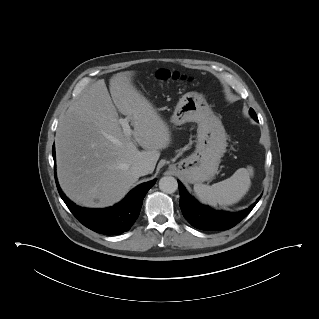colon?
<instances>
[{
  "instance_id": "colon-1",
  "label": "colon",
  "mask_w": 319,
  "mask_h": 319,
  "mask_svg": "<svg viewBox=\"0 0 319 319\" xmlns=\"http://www.w3.org/2000/svg\"><path fill=\"white\" fill-rule=\"evenodd\" d=\"M156 76L162 82H169L171 80H178L180 78V75L178 73L171 72L165 69L159 70Z\"/></svg>"
}]
</instances>
